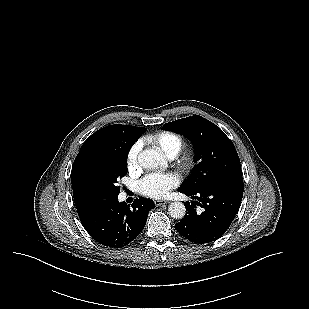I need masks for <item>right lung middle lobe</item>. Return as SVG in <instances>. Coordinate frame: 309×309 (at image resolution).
I'll use <instances>...</instances> for the list:
<instances>
[{"label":"right lung middle lobe","mask_w":309,"mask_h":309,"mask_svg":"<svg viewBox=\"0 0 309 309\" xmlns=\"http://www.w3.org/2000/svg\"><path fill=\"white\" fill-rule=\"evenodd\" d=\"M134 142L133 138L121 137L100 149L93 157L90 175L99 199L118 197V179L127 174V156Z\"/></svg>","instance_id":"dd1d6c3e"}]
</instances>
